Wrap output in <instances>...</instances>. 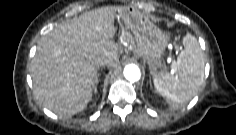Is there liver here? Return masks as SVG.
<instances>
[{
  "label": "liver",
  "instance_id": "1",
  "mask_svg": "<svg viewBox=\"0 0 236 135\" xmlns=\"http://www.w3.org/2000/svg\"><path fill=\"white\" fill-rule=\"evenodd\" d=\"M125 7L107 6L86 12L50 31L37 44L31 76L39 102L61 115L86 108L92 98L98 69L119 62L114 42L116 12ZM152 24L134 11L125 23L123 41L136 51L135 39Z\"/></svg>",
  "mask_w": 236,
  "mask_h": 135
}]
</instances>
